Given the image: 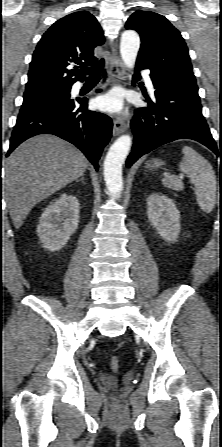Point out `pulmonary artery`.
Listing matches in <instances>:
<instances>
[{
	"mask_svg": "<svg viewBox=\"0 0 222 447\" xmlns=\"http://www.w3.org/2000/svg\"><path fill=\"white\" fill-rule=\"evenodd\" d=\"M144 75H145V80H146V83H147L148 87L151 90H153V84H152L151 78L149 77V75L146 72L144 73Z\"/></svg>",
	"mask_w": 222,
	"mask_h": 447,
	"instance_id": "obj_1",
	"label": "pulmonary artery"
}]
</instances>
